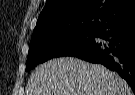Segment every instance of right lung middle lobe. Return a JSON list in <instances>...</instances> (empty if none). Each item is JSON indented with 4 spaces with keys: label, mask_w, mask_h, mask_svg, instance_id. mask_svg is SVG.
Segmentation results:
<instances>
[{
    "label": "right lung middle lobe",
    "mask_w": 135,
    "mask_h": 95,
    "mask_svg": "<svg viewBox=\"0 0 135 95\" xmlns=\"http://www.w3.org/2000/svg\"><path fill=\"white\" fill-rule=\"evenodd\" d=\"M95 31L79 30L57 35H37L32 37L26 71L49 59L72 56L93 42Z\"/></svg>",
    "instance_id": "right-lung-middle-lobe-1"
}]
</instances>
